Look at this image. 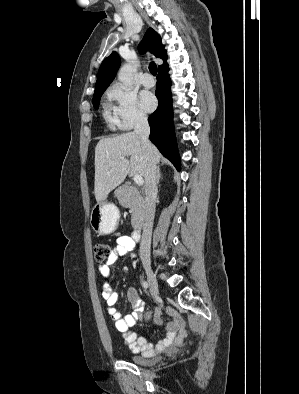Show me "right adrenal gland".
<instances>
[{
  "label": "right adrenal gland",
  "mask_w": 299,
  "mask_h": 394,
  "mask_svg": "<svg viewBox=\"0 0 299 394\" xmlns=\"http://www.w3.org/2000/svg\"><path fill=\"white\" fill-rule=\"evenodd\" d=\"M161 178H162V175H161L160 167H158L157 171H156V184L157 185L159 184V181Z\"/></svg>",
  "instance_id": "2a0ac1e0"
}]
</instances>
